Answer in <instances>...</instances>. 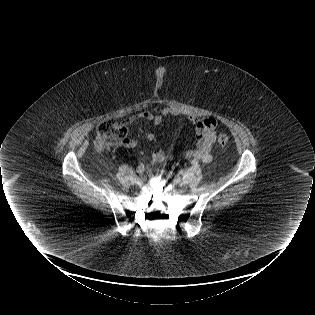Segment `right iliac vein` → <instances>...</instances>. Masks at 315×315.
I'll return each instance as SVG.
<instances>
[{
	"label": "right iliac vein",
	"instance_id": "1",
	"mask_svg": "<svg viewBox=\"0 0 315 315\" xmlns=\"http://www.w3.org/2000/svg\"><path fill=\"white\" fill-rule=\"evenodd\" d=\"M144 181H145V177L141 175V176L137 177L136 184L141 186L144 184Z\"/></svg>",
	"mask_w": 315,
	"mask_h": 315
}]
</instances>
